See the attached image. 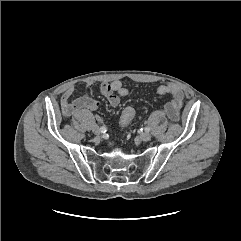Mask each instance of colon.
Masks as SVG:
<instances>
[{
    "mask_svg": "<svg viewBox=\"0 0 241 241\" xmlns=\"http://www.w3.org/2000/svg\"><path fill=\"white\" fill-rule=\"evenodd\" d=\"M135 109L131 106L126 107L121 114L120 117V124L123 127H126L129 125V123L131 122V120L134 118L135 116Z\"/></svg>",
    "mask_w": 241,
    "mask_h": 241,
    "instance_id": "5ec220e1",
    "label": "colon"
}]
</instances>
